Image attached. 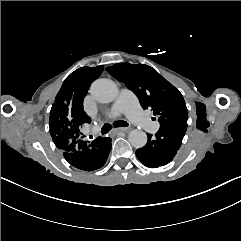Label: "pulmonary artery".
Here are the masks:
<instances>
[{"label":"pulmonary artery","mask_w":241,"mask_h":241,"mask_svg":"<svg viewBox=\"0 0 241 241\" xmlns=\"http://www.w3.org/2000/svg\"><path fill=\"white\" fill-rule=\"evenodd\" d=\"M121 98L118 101L111 102L109 108L102 109L98 113V118L102 122L115 120L121 115V109L124 114L149 135H154L159 130V125L151 117L147 116V110L138 103V98L128 90H122Z\"/></svg>","instance_id":"1"}]
</instances>
